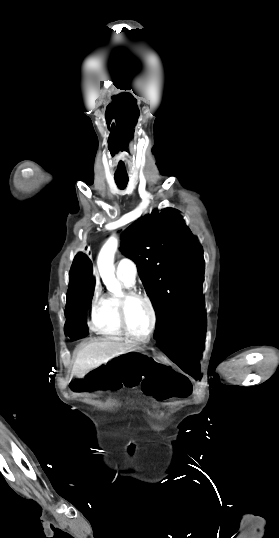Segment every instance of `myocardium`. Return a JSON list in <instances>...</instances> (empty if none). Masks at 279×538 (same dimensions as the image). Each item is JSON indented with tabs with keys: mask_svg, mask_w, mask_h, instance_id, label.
I'll use <instances>...</instances> for the list:
<instances>
[{
	"mask_svg": "<svg viewBox=\"0 0 279 538\" xmlns=\"http://www.w3.org/2000/svg\"><path fill=\"white\" fill-rule=\"evenodd\" d=\"M134 300L144 301L150 309L151 324L148 332L144 335H136L131 332L127 323V308L129 304ZM118 320L124 333L131 339L138 342H145L149 340L154 334L157 327V312L152 299L145 293L136 291L134 289L125 290L118 301Z\"/></svg>",
	"mask_w": 279,
	"mask_h": 538,
	"instance_id": "1",
	"label": "myocardium"
}]
</instances>
